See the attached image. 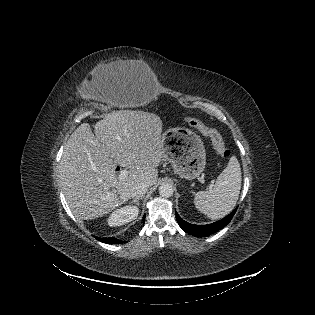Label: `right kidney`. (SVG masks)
Returning a JSON list of instances; mask_svg holds the SVG:
<instances>
[{
  "label": "right kidney",
  "mask_w": 315,
  "mask_h": 315,
  "mask_svg": "<svg viewBox=\"0 0 315 315\" xmlns=\"http://www.w3.org/2000/svg\"><path fill=\"white\" fill-rule=\"evenodd\" d=\"M139 209L136 206H124L112 212L107 219L111 227L122 226L137 218Z\"/></svg>",
  "instance_id": "obj_1"
}]
</instances>
